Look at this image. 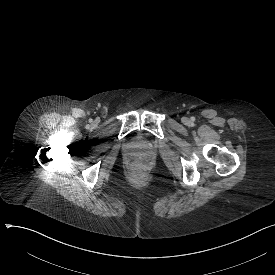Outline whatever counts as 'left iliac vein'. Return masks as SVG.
Listing matches in <instances>:
<instances>
[{
  "mask_svg": "<svg viewBox=\"0 0 275 275\" xmlns=\"http://www.w3.org/2000/svg\"><path fill=\"white\" fill-rule=\"evenodd\" d=\"M188 121H189V120L186 118V119L184 120V123H188Z\"/></svg>",
  "mask_w": 275,
  "mask_h": 275,
  "instance_id": "4c4485c4",
  "label": "left iliac vein"
}]
</instances>
